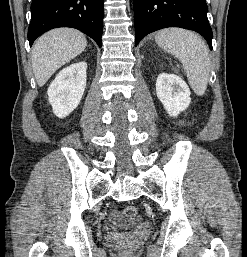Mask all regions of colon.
I'll return each mask as SVG.
<instances>
[{"instance_id":"1","label":"colon","mask_w":247,"mask_h":257,"mask_svg":"<svg viewBox=\"0 0 247 257\" xmlns=\"http://www.w3.org/2000/svg\"><path fill=\"white\" fill-rule=\"evenodd\" d=\"M123 213L128 220H134L137 216V209L134 206H128L124 209Z\"/></svg>"}]
</instances>
